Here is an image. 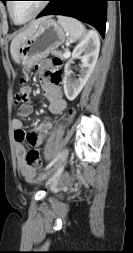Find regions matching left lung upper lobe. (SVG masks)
Returning <instances> with one entry per match:
<instances>
[{
    "label": "left lung upper lobe",
    "instance_id": "obj_1",
    "mask_svg": "<svg viewBox=\"0 0 133 253\" xmlns=\"http://www.w3.org/2000/svg\"><path fill=\"white\" fill-rule=\"evenodd\" d=\"M0 1H2V2L5 4V2H6L7 0H0Z\"/></svg>",
    "mask_w": 133,
    "mask_h": 253
}]
</instances>
